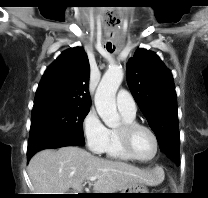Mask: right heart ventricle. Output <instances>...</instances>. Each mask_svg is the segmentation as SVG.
Segmentation results:
<instances>
[{
	"mask_svg": "<svg viewBox=\"0 0 208 198\" xmlns=\"http://www.w3.org/2000/svg\"><path fill=\"white\" fill-rule=\"evenodd\" d=\"M121 114L124 122L135 121V116H131L122 112ZM103 153L107 158L112 160L123 162L133 161V159L124 151L117 134V129H108V139Z\"/></svg>",
	"mask_w": 208,
	"mask_h": 198,
	"instance_id": "right-heart-ventricle-1",
	"label": "right heart ventricle"
}]
</instances>
